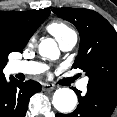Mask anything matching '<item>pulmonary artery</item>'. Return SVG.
Listing matches in <instances>:
<instances>
[{
    "label": "pulmonary artery",
    "mask_w": 117,
    "mask_h": 117,
    "mask_svg": "<svg viewBox=\"0 0 117 117\" xmlns=\"http://www.w3.org/2000/svg\"><path fill=\"white\" fill-rule=\"evenodd\" d=\"M62 51L69 52L77 44V35L75 32L68 34L62 39L58 40ZM46 66L34 61H14L11 63V70L13 73L22 74H40L46 70ZM88 79L84 78L78 83V89L85 91L87 88Z\"/></svg>",
    "instance_id": "1"
}]
</instances>
